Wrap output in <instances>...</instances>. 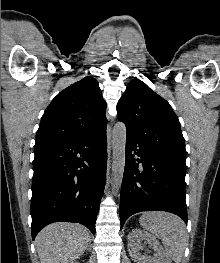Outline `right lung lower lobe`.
<instances>
[{
	"mask_svg": "<svg viewBox=\"0 0 220 263\" xmlns=\"http://www.w3.org/2000/svg\"><path fill=\"white\" fill-rule=\"evenodd\" d=\"M32 179V238L46 225L77 222L95 234L106 181V130L98 134L35 144Z\"/></svg>",
	"mask_w": 220,
	"mask_h": 263,
	"instance_id": "obj_1",
	"label": "right lung lower lobe"
}]
</instances>
